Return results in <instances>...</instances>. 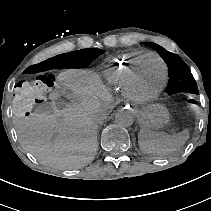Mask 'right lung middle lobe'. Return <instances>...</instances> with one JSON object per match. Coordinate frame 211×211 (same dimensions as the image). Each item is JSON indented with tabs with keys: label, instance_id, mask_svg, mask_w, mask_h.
<instances>
[{
	"label": "right lung middle lobe",
	"instance_id": "right-lung-middle-lobe-1",
	"mask_svg": "<svg viewBox=\"0 0 211 211\" xmlns=\"http://www.w3.org/2000/svg\"><path fill=\"white\" fill-rule=\"evenodd\" d=\"M77 53L81 61H83V66H88L95 58L103 54L104 51L101 49H82Z\"/></svg>",
	"mask_w": 211,
	"mask_h": 211
}]
</instances>
